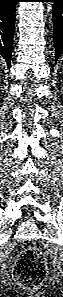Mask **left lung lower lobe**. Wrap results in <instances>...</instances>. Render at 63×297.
<instances>
[{"instance_id":"1","label":"left lung lower lobe","mask_w":63,"mask_h":297,"mask_svg":"<svg viewBox=\"0 0 63 297\" xmlns=\"http://www.w3.org/2000/svg\"><path fill=\"white\" fill-rule=\"evenodd\" d=\"M53 4V39L55 47V62L63 55V0H47Z\"/></svg>"}]
</instances>
